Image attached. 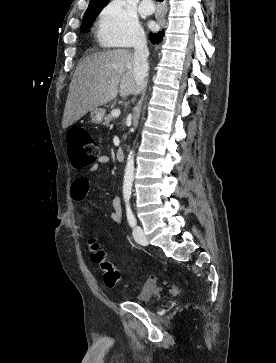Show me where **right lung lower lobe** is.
I'll return each mask as SVG.
<instances>
[{"mask_svg": "<svg viewBox=\"0 0 276 363\" xmlns=\"http://www.w3.org/2000/svg\"><path fill=\"white\" fill-rule=\"evenodd\" d=\"M149 38L153 44H159L163 39V32H158L154 34L150 33Z\"/></svg>", "mask_w": 276, "mask_h": 363, "instance_id": "right-lung-lower-lobe-1", "label": "right lung lower lobe"}]
</instances>
